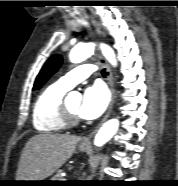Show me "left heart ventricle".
<instances>
[{"label":"left heart ventricle","instance_id":"left-heart-ventricle-1","mask_svg":"<svg viewBox=\"0 0 178 186\" xmlns=\"http://www.w3.org/2000/svg\"><path fill=\"white\" fill-rule=\"evenodd\" d=\"M70 112L76 116H79L80 101H69L66 103Z\"/></svg>","mask_w":178,"mask_h":186}]
</instances>
